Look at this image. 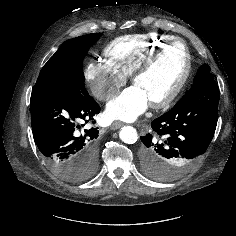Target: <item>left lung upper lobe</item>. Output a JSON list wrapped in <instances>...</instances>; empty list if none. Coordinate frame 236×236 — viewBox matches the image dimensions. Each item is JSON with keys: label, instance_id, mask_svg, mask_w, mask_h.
I'll return each mask as SVG.
<instances>
[{"label": "left lung upper lobe", "instance_id": "obj_1", "mask_svg": "<svg viewBox=\"0 0 236 236\" xmlns=\"http://www.w3.org/2000/svg\"><path fill=\"white\" fill-rule=\"evenodd\" d=\"M208 79H213V75L210 72V67L208 64H204L203 66L200 67L198 70V73L196 74L194 78V83L192 85L195 86L196 84L208 80Z\"/></svg>", "mask_w": 236, "mask_h": 236}]
</instances>
